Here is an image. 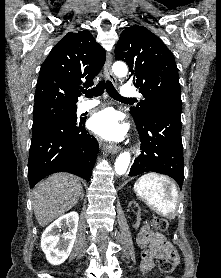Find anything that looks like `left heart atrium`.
Returning a JSON list of instances; mask_svg holds the SVG:
<instances>
[{
  "instance_id": "left-heart-atrium-1",
  "label": "left heart atrium",
  "mask_w": 221,
  "mask_h": 278,
  "mask_svg": "<svg viewBox=\"0 0 221 278\" xmlns=\"http://www.w3.org/2000/svg\"><path fill=\"white\" fill-rule=\"evenodd\" d=\"M90 128L109 140L120 139L124 135V128L119 124L117 115L111 110L96 113L90 120Z\"/></svg>"
}]
</instances>
